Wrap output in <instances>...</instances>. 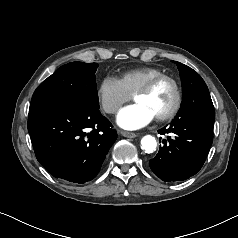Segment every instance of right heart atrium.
I'll return each mask as SVG.
<instances>
[{
    "mask_svg": "<svg viewBox=\"0 0 238 238\" xmlns=\"http://www.w3.org/2000/svg\"><path fill=\"white\" fill-rule=\"evenodd\" d=\"M97 96L102 109L108 114H115L123 104L131 99L119 79L107 76L102 79L97 89Z\"/></svg>",
    "mask_w": 238,
    "mask_h": 238,
    "instance_id": "1",
    "label": "right heart atrium"
}]
</instances>
